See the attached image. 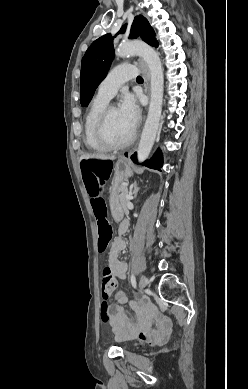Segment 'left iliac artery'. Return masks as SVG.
<instances>
[{
    "label": "left iliac artery",
    "instance_id": "obj_1",
    "mask_svg": "<svg viewBox=\"0 0 248 389\" xmlns=\"http://www.w3.org/2000/svg\"><path fill=\"white\" fill-rule=\"evenodd\" d=\"M131 284L134 288H136V279H135V276L134 274L131 275Z\"/></svg>",
    "mask_w": 248,
    "mask_h": 389
}]
</instances>
